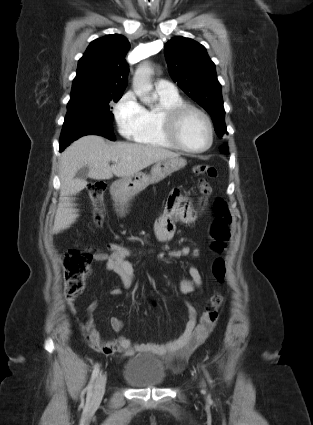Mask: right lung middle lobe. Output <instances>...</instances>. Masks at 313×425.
<instances>
[{"mask_svg":"<svg viewBox=\"0 0 313 425\" xmlns=\"http://www.w3.org/2000/svg\"><path fill=\"white\" fill-rule=\"evenodd\" d=\"M122 94L123 92L71 96L67 104L65 120L68 121L72 114L82 113L97 115L111 122L114 119V115L111 112L112 107L110 103L118 102Z\"/></svg>","mask_w":313,"mask_h":425,"instance_id":"obj_1","label":"right lung middle lobe"}]
</instances>
